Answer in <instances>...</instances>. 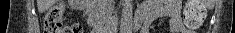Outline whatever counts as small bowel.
I'll use <instances>...</instances> for the list:
<instances>
[{
  "label": "small bowel",
  "mask_w": 235,
  "mask_h": 33,
  "mask_svg": "<svg viewBox=\"0 0 235 33\" xmlns=\"http://www.w3.org/2000/svg\"><path fill=\"white\" fill-rule=\"evenodd\" d=\"M138 14L144 19L142 33H149L150 25L161 18L169 19L171 33H194L182 23L180 0H149L142 4Z\"/></svg>",
  "instance_id": "obj_1"
}]
</instances>
